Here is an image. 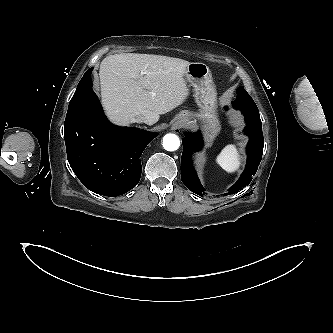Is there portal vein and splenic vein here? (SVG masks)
<instances>
[{
    "instance_id": "obj_1",
    "label": "portal vein and splenic vein",
    "mask_w": 333,
    "mask_h": 333,
    "mask_svg": "<svg viewBox=\"0 0 333 333\" xmlns=\"http://www.w3.org/2000/svg\"><path fill=\"white\" fill-rule=\"evenodd\" d=\"M144 74H146V72H145V71H142V72H141V75H144Z\"/></svg>"
}]
</instances>
